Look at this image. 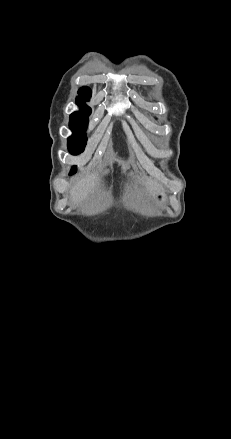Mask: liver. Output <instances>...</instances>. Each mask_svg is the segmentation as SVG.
<instances>
[{"instance_id":"obj_1","label":"liver","mask_w":231,"mask_h":439,"mask_svg":"<svg viewBox=\"0 0 231 439\" xmlns=\"http://www.w3.org/2000/svg\"><path fill=\"white\" fill-rule=\"evenodd\" d=\"M96 180L97 175H88L78 181L70 191L72 201L78 203L86 199L88 194L94 188ZM146 188L147 191L152 195H156L163 190L160 184L149 178H146Z\"/></svg>"}]
</instances>
